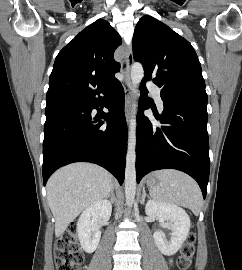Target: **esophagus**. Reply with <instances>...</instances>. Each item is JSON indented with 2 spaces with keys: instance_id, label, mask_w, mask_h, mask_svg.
<instances>
[{
  "instance_id": "esophagus-1",
  "label": "esophagus",
  "mask_w": 242,
  "mask_h": 270,
  "mask_svg": "<svg viewBox=\"0 0 242 270\" xmlns=\"http://www.w3.org/2000/svg\"><path fill=\"white\" fill-rule=\"evenodd\" d=\"M133 53L132 49L129 47L126 52V64H125V75L124 80L122 82V86L124 88L125 94V115L127 123L130 119V108H131V101H132V82H131V67L133 64Z\"/></svg>"
}]
</instances>
